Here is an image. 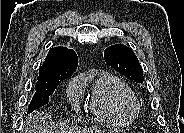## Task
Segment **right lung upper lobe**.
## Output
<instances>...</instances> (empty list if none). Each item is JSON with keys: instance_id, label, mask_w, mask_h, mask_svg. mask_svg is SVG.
Wrapping results in <instances>:
<instances>
[{"instance_id": "right-lung-upper-lobe-1", "label": "right lung upper lobe", "mask_w": 184, "mask_h": 133, "mask_svg": "<svg viewBox=\"0 0 184 133\" xmlns=\"http://www.w3.org/2000/svg\"><path fill=\"white\" fill-rule=\"evenodd\" d=\"M78 57L66 47L51 48L42 66L39 68L36 87H45L55 80H64L76 70Z\"/></svg>"}]
</instances>
